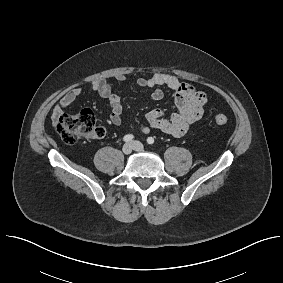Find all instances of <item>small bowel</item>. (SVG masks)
<instances>
[{
  "label": "small bowel",
  "instance_id": "small-bowel-1",
  "mask_svg": "<svg viewBox=\"0 0 283 283\" xmlns=\"http://www.w3.org/2000/svg\"><path fill=\"white\" fill-rule=\"evenodd\" d=\"M117 80L124 83L125 77L120 75ZM137 83L140 87L152 90L151 99L154 101L162 99L164 96L163 88H168L173 94L177 107V112L171 116H166L165 111L161 108L150 110L146 114V122L139 128L144 134L156 129L175 137L183 136L188 132L190 126L202 117L204 107L208 102V96L205 92L170 74L155 73L148 78H139ZM90 90L108 101L111 109L109 120L113 125H120L123 106L120 96L113 91L111 84L104 80H98L91 84ZM82 93V88H75L65 94L54 106L53 120L57 121L63 115L65 109L70 107Z\"/></svg>",
  "mask_w": 283,
  "mask_h": 283
}]
</instances>
